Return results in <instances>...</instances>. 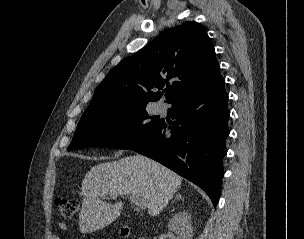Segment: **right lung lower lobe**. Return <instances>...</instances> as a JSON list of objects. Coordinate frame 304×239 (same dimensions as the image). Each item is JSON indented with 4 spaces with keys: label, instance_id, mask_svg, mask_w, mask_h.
<instances>
[{
    "label": "right lung lower lobe",
    "instance_id": "1",
    "mask_svg": "<svg viewBox=\"0 0 304 239\" xmlns=\"http://www.w3.org/2000/svg\"><path fill=\"white\" fill-rule=\"evenodd\" d=\"M227 101L219 70L201 85L173 98L168 113L175 121L168 126L161 120L151 135L131 149L201 187L216 206L229 135Z\"/></svg>",
    "mask_w": 304,
    "mask_h": 239
}]
</instances>
